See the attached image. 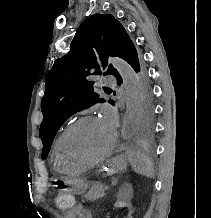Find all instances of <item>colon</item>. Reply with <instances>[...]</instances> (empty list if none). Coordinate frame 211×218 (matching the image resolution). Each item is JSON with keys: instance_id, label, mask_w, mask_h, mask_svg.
Masks as SVG:
<instances>
[{"instance_id": "obj_1", "label": "colon", "mask_w": 211, "mask_h": 218, "mask_svg": "<svg viewBox=\"0 0 211 218\" xmlns=\"http://www.w3.org/2000/svg\"><path fill=\"white\" fill-rule=\"evenodd\" d=\"M56 203L59 208L72 209L75 207V197L67 187H60L56 195Z\"/></svg>"}]
</instances>
